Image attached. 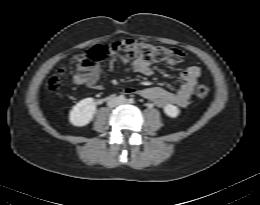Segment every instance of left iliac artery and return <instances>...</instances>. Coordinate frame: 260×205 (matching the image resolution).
<instances>
[{
	"mask_svg": "<svg viewBox=\"0 0 260 205\" xmlns=\"http://www.w3.org/2000/svg\"><path fill=\"white\" fill-rule=\"evenodd\" d=\"M128 101H129V103H134L135 102V100L133 98H130Z\"/></svg>",
	"mask_w": 260,
	"mask_h": 205,
	"instance_id": "44dca946",
	"label": "left iliac artery"
}]
</instances>
